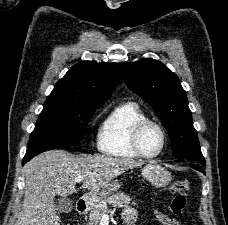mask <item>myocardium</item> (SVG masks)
I'll list each match as a JSON object with an SVG mask.
<instances>
[{"instance_id": "myocardium-1", "label": "myocardium", "mask_w": 228, "mask_h": 225, "mask_svg": "<svg viewBox=\"0 0 228 225\" xmlns=\"http://www.w3.org/2000/svg\"><path fill=\"white\" fill-rule=\"evenodd\" d=\"M153 126L155 128H157L159 130V132L161 133V137H162V144H161V148L160 150L155 153V154H149L147 153L143 146H142V136L144 131L150 127ZM132 142H133V146L135 148V150L137 151V153L142 156L143 158H147V159H152V158H157L159 156H161L166 148L167 145V132L164 128V126L159 123L156 120L153 119H144L142 121H140L134 128L133 131V136H132Z\"/></svg>"}]
</instances>
